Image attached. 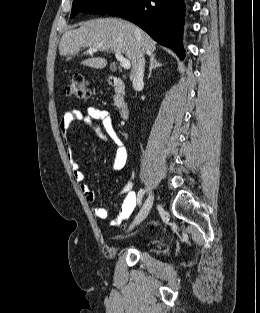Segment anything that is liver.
<instances>
[{
    "label": "liver",
    "instance_id": "liver-1",
    "mask_svg": "<svg viewBox=\"0 0 260 313\" xmlns=\"http://www.w3.org/2000/svg\"><path fill=\"white\" fill-rule=\"evenodd\" d=\"M97 47L101 52L124 54L132 65L134 76L141 54L152 55L156 50L155 41L136 25L119 18H98L86 21L77 29L66 31L59 44L61 56L77 55L82 48ZM82 65L103 69L107 60L92 57L81 62Z\"/></svg>",
    "mask_w": 260,
    "mask_h": 313
}]
</instances>
